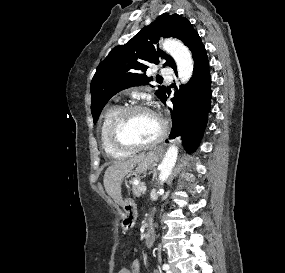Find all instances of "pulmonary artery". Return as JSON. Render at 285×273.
Here are the masks:
<instances>
[{
    "instance_id": "1",
    "label": "pulmonary artery",
    "mask_w": 285,
    "mask_h": 273,
    "mask_svg": "<svg viewBox=\"0 0 285 273\" xmlns=\"http://www.w3.org/2000/svg\"><path fill=\"white\" fill-rule=\"evenodd\" d=\"M160 74L163 78L170 79L173 76V70L169 67H164L160 70Z\"/></svg>"
}]
</instances>
